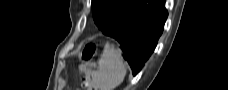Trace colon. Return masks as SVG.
<instances>
[{"label": "colon", "instance_id": "obj_1", "mask_svg": "<svg viewBox=\"0 0 228 90\" xmlns=\"http://www.w3.org/2000/svg\"><path fill=\"white\" fill-rule=\"evenodd\" d=\"M97 51H98L97 43L90 42L83 49L82 54H81V59L83 61H91L96 56ZM83 89L84 90H96V87L88 74L84 75Z\"/></svg>", "mask_w": 228, "mask_h": 90}]
</instances>
